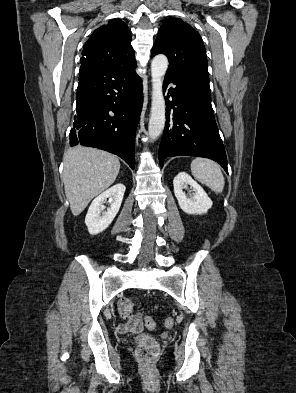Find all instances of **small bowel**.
I'll return each instance as SVG.
<instances>
[{"mask_svg":"<svg viewBox=\"0 0 296 393\" xmlns=\"http://www.w3.org/2000/svg\"><path fill=\"white\" fill-rule=\"evenodd\" d=\"M117 329L121 333H138L143 330V323L139 316L131 315L125 323L119 324Z\"/></svg>","mask_w":296,"mask_h":393,"instance_id":"obj_1","label":"small bowel"}]
</instances>
